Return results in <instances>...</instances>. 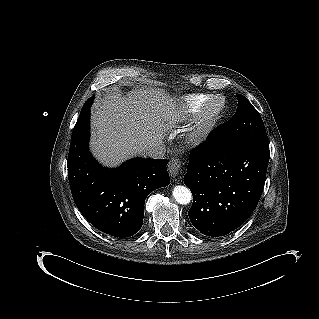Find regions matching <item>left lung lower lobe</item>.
I'll return each mask as SVG.
<instances>
[{
  "label": "left lung lower lobe",
  "mask_w": 319,
  "mask_h": 319,
  "mask_svg": "<svg viewBox=\"0 0 319 319\" xmlns=\"http://www.w3.org/2000/svg\"><path fill=\"white\" fill-rule=\"evenodd\" d=\"M218 128L190 152L184 176L193 194L190 221L208 237L225 236L249 218L262 194L269 162L268 140L214 145Z\"/></svg>",
  "instance_id": "1"
}]
</instances>
